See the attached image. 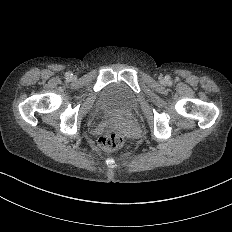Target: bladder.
I'll use <instances>...</instances> for the list:
<instances>
[{
    "mask_svg": "<svg viewBox=\"0 0 232 232\" xmlns=\"http://www.w3.org/2000/svg\"><path fill=\"white\" fill-rule=\"evenodd\" d=\"M137 107L134 93L124 84L111 83L99 95L90 115L95 117L104 111L131 112Z\"/></svg>",
    "mask_w": 232,
    "mask_h": 232,
    "instance_id": "obj_1",
    "label": "bladder"
}]
</instances>
